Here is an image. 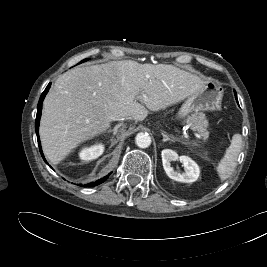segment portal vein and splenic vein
Returning a JSON list of instances; mask_svg holds the SVG:
<instances>
[{
    "label": "portal vein and splenic vein",
    "instance_id": "1",
    "mask_svg": "<svg viewBox=\"0 0 267 267\" xmlns=\"http://www.w3.org/2000/svg\"><path fill=\"white\" fill-rule=\"evenodd\" d=\"M197 137H199V135L198 134H195Z\"/></svg>",
    "mask_w": 267,
    "mask_h": 267
}]
</instances>
